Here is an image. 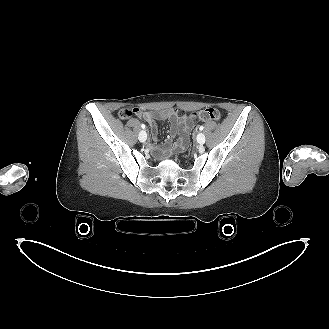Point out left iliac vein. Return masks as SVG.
<instances>
[{
	"mask_svg": "<svg viewBox=\"0 0 329 329\" xmlns=\"http://www.w3.org/2000/svg\"><path fill=\"white\" fill-rule=\"evenodd\" d=\"M197 142L200 144V145H203L204 143H205V140H206V138H205V135L203 134V133H199L198 135H197Z\"/></svg>",
	"mask_w": 329,
	"mask_h": 329,
	"instance_id": "obj_1",
	"label": "left iliac vein"
}]
</instances>
